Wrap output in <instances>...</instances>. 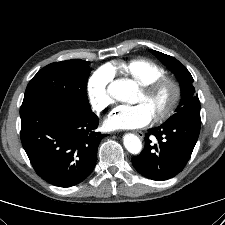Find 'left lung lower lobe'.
Returning <instances> with one entry per match:
<instances>
[{
    "instance_id": "0a47b994",
    "label": "left lung lower lobe",
    "mask_w": 225,
    "mask_h": 225,
    "mask_svg": "<svg viewBox=\"0 0 225 225\" xmlns=\"http://www.w3.org/2000/svg\"><path fill=\"white\" fill-rule=\"evenodd\" d=\"M201 121L186 120L164 123L148 130L145 147L132 158L135 169L152 180H167L183 170L197 142ZM157 138L152 145L150 136Z\"/></svg>"
}]
</instances>
